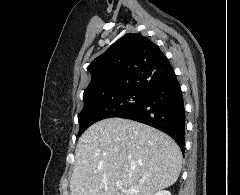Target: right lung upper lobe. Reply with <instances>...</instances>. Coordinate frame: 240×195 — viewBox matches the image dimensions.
Masks as SVG:
<instances>
[{
    "label": "right lung upper lobe",
    "mask_w": 240,
    "mask_h": 195,
    "mask_svg": "<svg viewBox=\"0 0 240 195\" xmlns=\"http://www.w3.org/2000/svg\"><path fill=\"white\" fill-rule=\"evenodd\" d=\"M88 70L92 79L84 99L110 95L120 90L148 91L174 75L172 66L159 47L138 34H126L101 56Z\"/></svg>",
    "instance_id": "cb5924a9"
}]
</instances>
